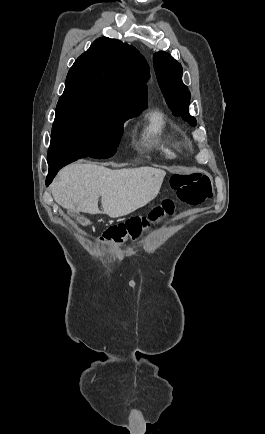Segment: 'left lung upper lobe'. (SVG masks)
Returning <instances> with one entry per match:
<instances>
[{"mask_svg": "<svg viewBox=\"0 0 265 434\" xmlns=\"http://www.w3.org/2000/svg\"><path fill=\"white\" fill-rule=\"evenodd\" d=\"M153 65L161 91L173 114L196 126L195 118L188 112L191 95L182 82L181 64L170 54L160 51L154 54Z\"/></svg>", "mask_w": 265, "mask_h": 434, "instance_id": "obj_1", "label": "left lung upper lobe"}]
</instances>
